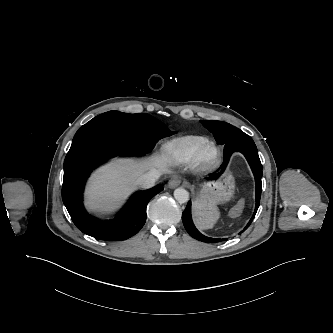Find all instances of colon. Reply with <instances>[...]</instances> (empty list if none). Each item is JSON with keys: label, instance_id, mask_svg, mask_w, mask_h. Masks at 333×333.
<instances>
[{"label": "colon", "instance_id": "1", "mask_svg": "<svg viewBox=\"0 0 333 333\" xmlns=\"http://www.w3.org/2000/svg\"><path fill=\"white\" fill-rule=\"evenodd\" d=\"M244 207V202L240 201L232 210V213L234 215H237L238 213H240L242 211Z\"/></svg>", "mask_w": 333, "mask_h": 333}]
</instances>
